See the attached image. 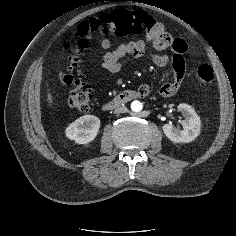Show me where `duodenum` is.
Segmentation results:
<instances>
[{
    "label": "duodenum",
    "instance_id": "1",
    "mask_svg": "<svg viewBox=\"0 0 236 236\" xmlns=\"http://www.w3.org/2000/svg\"><path fill=\"white\" fill-rule=\"evenodd\" d=\"M138 90L126 89L117 94L114 98L104 104V108L113 109L129 103L130 101L141 97Z\"/></svg>",
    "mask_w": 236,
    "mask_h": 236
}]
</instances>
